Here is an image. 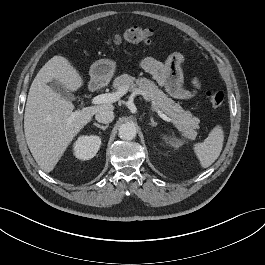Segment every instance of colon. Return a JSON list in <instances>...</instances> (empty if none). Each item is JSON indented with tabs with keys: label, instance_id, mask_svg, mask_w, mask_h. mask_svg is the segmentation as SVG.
<instances>
[{
	"label": "colon",
	"instance_id": "obj_1",
	"mask_svg": "<svg viewBox=\"0 0 265 265\" xmlns=\"http://www.w3.org/2000/svg\"><path fill=\"white\" fill-rule=\"evenodd\" d=\"M153 32L150 29L139 26H131L123 33L110 36L106 39L108 45H120L125 42L129 43H149L152 39ZM208 102L212 107L218 108L224 102V93L218 89H208L205 93Z\"/></svg>",
	"mask_w": 265,
	"mask_h": 265
}]
</instances>
